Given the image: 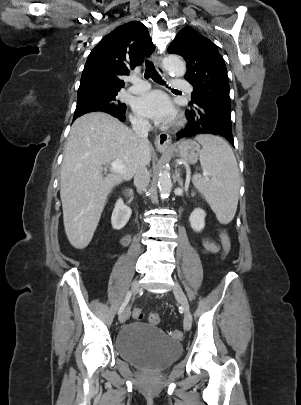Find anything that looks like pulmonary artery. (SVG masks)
Segmentation results:
<instances>
[{
  "mask_svg": "<svg viewBox=\"0 0 301 405\" xmlns=\"http://www.w3.org/2000/svg\"><path fill=\"white\" fill-rule=\"evenodd\" d=\"M132 86L129 88L131 93L139 94L149 90L150 85L147 81H144L139 78L131 79ZM172 86L178 90H185L188 93L192 92V87L190 84L183 79H174L172 81Z\"/></svg>",
  "mask_w": 301,
  "mask_h": 405,
  "instance_id": "1",
  "label": "pulmonary artery"
}]
</instances>
